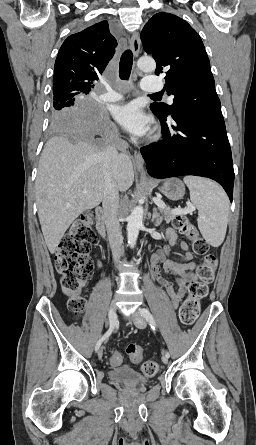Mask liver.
<instances>
[{
	"label": "liver",
	"instance_id": "1",
	"mask_svg": "<svg viewBox=\"0 0 256 445\" xmlns=\"http://www.w3.org/2000/svg\"><path fill=\"white\" fill-rule=\"evenodd\" d=\"M103 150L87 139L75 143L65 136L49 139L42 151L36 179V200L42 233L50 253L72 222L103 200ZM134 181L132 162L120 154L118 191L125 192ZM87 192L84 193L83 190Z\"/></svg>",
	"mask_w": 256,
	"mask_h": 445
}]
</instances>
